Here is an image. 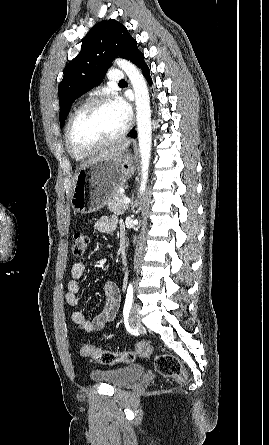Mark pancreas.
I'll return each instance as SVG.
<instances>
[{
    "instance_id": "1",
    "label": "pancreas",
    "mask_w": 269,
    "mask_h": 445,
    "mask_svg": "<svg viewBox=\"0 0 269 445\" xmlns=\"http://www.w3.org/2000/svg\"><path fill=\"white\" fill-rule=\"evenodd\" d=\"M126 196L120 192H115L112 194L111 198L107 201L108 210L114 214L120 215L127 210L128 206L123 203V198Z\"/></svg>"
}]
</instances>
